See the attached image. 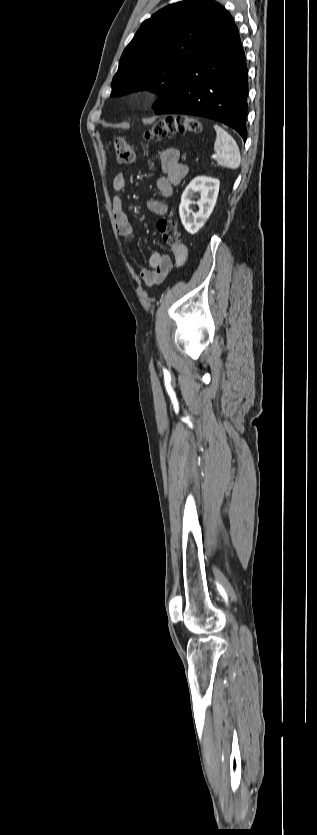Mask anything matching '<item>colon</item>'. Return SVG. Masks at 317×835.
Returning a JSON list of instances; mask_svg holds the SVG:
<instances>
[{
	"label": "colon",
	"instance_id": "1",
	"mask_svg": "<svg viewBox=\"0 0 317 835\" xmlns=\"http://www.w3.org/2000/svg\"><path fill=\"white\" fill-rule=\"evenodd\" d=\"M200 124L191 117L166 118L156 122L145 132L147 140L165 138L175 133H197ZM114 149L117 160L121 164H132L136 159L133 147L121 136L114 139ZM157 228L163 241L170 246L180 245L181 236L177 222L168 217H161L157 222Z\"/></svg>",
	"mask_w": 317,
	"mask_h": 835
}]
</instances>
